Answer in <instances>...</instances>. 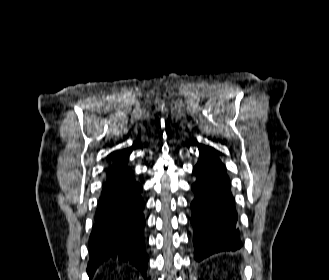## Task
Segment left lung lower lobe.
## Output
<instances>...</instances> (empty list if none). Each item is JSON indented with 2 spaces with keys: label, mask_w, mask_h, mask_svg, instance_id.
Here are the masks:
<instances>
[{
  "label": "left lung lower lobe",
  "mask_w": 329,
  "mask_h": 280,
  "mask_svg": "<svg viewBox=\"0 0 329 280\" xmlns=\"http://www.w3.org/2000/svg\"><path fill=\"white\" fill-rule=\"evenodd\" d=\"M200 153L199 161L193 169L197 180L192 185L195 198L191 203L196 261L214 253L234 251L242 246L237 212L225 167L213 148L203 147Z\"/></svg>",
  "instance_id": "1"
}]
</instances>
